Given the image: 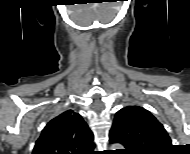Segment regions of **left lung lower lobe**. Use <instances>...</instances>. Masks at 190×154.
Returning <instances> with one entry per match:
<instances>
[{"instance_id":"obj_1","label":"left lung lower lobe","mask_w":190,"mask_h":154,"mask_svg":"<svg viewBox=\"0 0 190 154\" xmlns=\"http://www.w3.org/2000/svg\"><path fill=\"white\" fill-rule=\"evenodd\" d=\"M110 142L111 143H121V144H123L124 146H125V153H130L131 151L129 150V146L128 145H126V144H124L120 139H118L117 137H115V136H112V137H110Z\"/></svg>"}]
</instances>
